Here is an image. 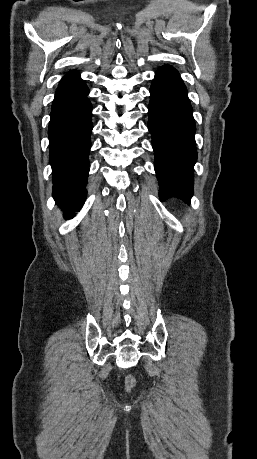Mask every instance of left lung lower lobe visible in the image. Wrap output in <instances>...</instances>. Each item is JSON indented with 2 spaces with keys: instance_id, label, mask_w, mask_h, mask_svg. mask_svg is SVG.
Returning <instances> with one entry per match:
<instances>
[{
  "instance_id": "left-lung-lower-lobe-1",
  "label": "left lung lower lobe",
  "mask_w": 257,
  "mask_h": 459,
  "mask_svg": "<svg viewBox=\"0 0 257 459\" xmlns=\"http://www.w3.org/2000/svg\"><path fill=\"white\" fill-rule=\"evenodd\" d=\"M150 94L148 129L161 187L159 196L189 202L197 152L195 122L186 87L178 72L165 65L156 72Z\"/></svg>"
}]
</instances>
